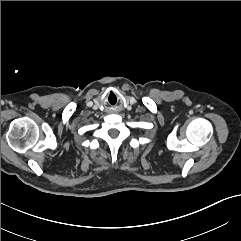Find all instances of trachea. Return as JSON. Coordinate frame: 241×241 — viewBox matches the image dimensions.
I'll use <instances>...</instances> for the list:
<instances>
[{"mask_svg":"<svg viewBox=\"0 0 241 241\" xmlns=\"http://www.w3.org/2000/svg\"><path fill=\"white\" fill-rule=\"evenodd\" d=\"M107 101H108V103H110V104H115V103H117V101H118V96H117V94H115V93H110V94H108V96H107Z\"/></svg>","mask_w":241,"mask_h":241,"instance_id":"obj_1","label":"trachea"}]
</instances>
